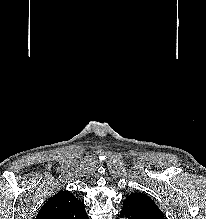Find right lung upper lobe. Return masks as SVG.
Segmentation results:
<instances>
[{
  "label": "right lung upper lobe",
  "mask_w": 206,
  "mask_h": 219,
  "mask_svg": "<svg viewBox=\"0 0 206 219\" xmlns=\"http://www.w3.org/2000/svg\"><path fill=\"white\" fill-rule=\"evenodd\" d=\"M35 219H88L84 203L62 190L49 198Z\"/></svg>",
  "instance_id": "cb5924a9"
}]
</instances>
